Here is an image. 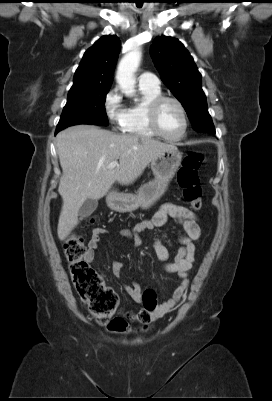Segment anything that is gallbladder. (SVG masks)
Masks as SVG:
<instances>
[{
	"instance_id": "obj_1",
	"label": "gallbladder",
	"mask_w": 272,
	"mask_h": 401,
	"mask_svg": "<svg viewBox=\"0 0 272 401\" xmlns=\"http://www.w3.org/2000/svg\"><path fill=\"white\" fill-rule=\"evenodd\" d=\"M98 201L96 199H86L79 209V215L82 217L90 216L97 208Z\"/></svg>"
}]
</instances>
